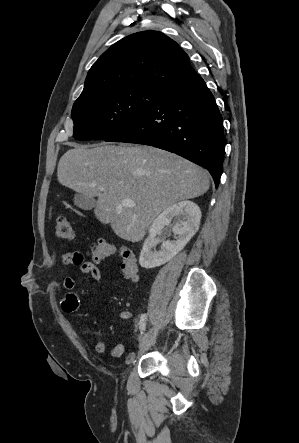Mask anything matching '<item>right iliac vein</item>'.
<instances>
[{"label": "right iliac vein", "mask_w": 299, "mask_h": 443, "mask_svg": "<svg viewBox=\"0 0 299 443\" xmlns=\"http://www.w3.org/2000/svg\"><path fill=\"white\" fill-rule=\"evenodd\" d=\"M158 333V328H151L141 339L139 344V353L144 352L147 348H149L156 339Z\"/></svg>", "instance_id": "obj_1"}]
</instances>
